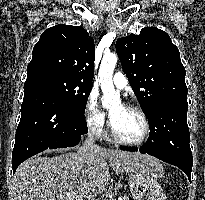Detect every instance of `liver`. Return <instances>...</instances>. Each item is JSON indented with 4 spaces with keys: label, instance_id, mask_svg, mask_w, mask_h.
Instances as JSON below:
<instances>
[{
    "label": "liver",
    "instance_id": "6515ba94",
    "mask_svg": "<svg viewBox=\"0 0 205 200\" xmlns=\"http://www.w3.org/2000/svg\"><path fill=\"white\" fill-rule=\"evenodd\" d=\"M157 165L151 156L102 147L86 153L35 156L17 168L13 196L14 200H95L109 186V166L121 174L147 171L157 175Z\"/></svg>",
    "mask_w": 205,
    "mask_h": 200
}]
</instances>
